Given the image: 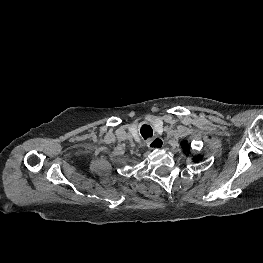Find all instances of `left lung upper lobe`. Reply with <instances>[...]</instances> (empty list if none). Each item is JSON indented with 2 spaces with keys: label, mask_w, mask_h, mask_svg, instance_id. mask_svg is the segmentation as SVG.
<instances>
[{
  "label": "left lung upper lobe",
  "mask_w": 263,
  "mask_h": 263,
  "mask_svg": "<svg viewBox=\"0 0 263 263\" xmlns=\"http://www.w3.org/2000/svg\"><path fill=\"white\" fill-rule=\"evenodd\" d=\"M181 146L183 147L184 152L189 153L190 147H189V144L187 143V141H183L181 143ZM201 158H202V156H196L193 160L196 162V161H198Z\"/></svg>",
  "instance_id": "1"
}]
</instances>
